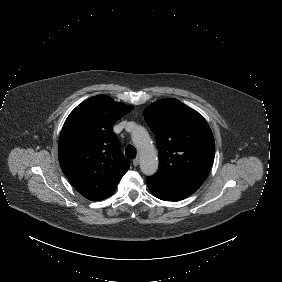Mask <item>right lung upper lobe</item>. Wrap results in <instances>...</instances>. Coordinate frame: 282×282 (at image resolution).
<instances>
[{
	"mask_svg": "<svg viewBox=\"0 0 282 282\" xmlns=\"http://www.w3.org/2000/svg\"><path fill=\"white\" fill-rule=\"evenodd\" d=\"M132 109L98 95L85 100L66 119L58 143L59 163L85 198L99 201L110 197L129 169L112 125Z\"/></svg>",
	"mask_w": 282,
	"mask_h": 282,
	"instance_id": "1",
	"label": "right lung upper lobe"
}]
</instances>
